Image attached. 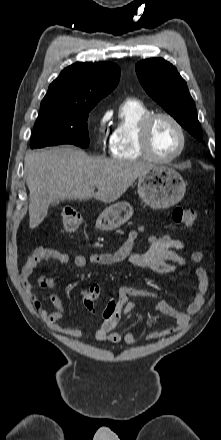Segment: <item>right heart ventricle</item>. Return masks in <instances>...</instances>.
<instances>
[{
	"instance_id": "right-heart-ventricle-1",
	"label": "right heart ventricle",
	"mask_w": 221,
	"mask_h": 440,
	"mask_svg": "<svg viewBox=\"0 0 221 440\" xmlns=\"http://www.w3.org/2000/svg\"><path fill=\"white\" fill-rule=\"evenodd\" d=\"M150 109L140 100L128 98L119 108V120L110 140L111 156L119 160L145 158L138 141V127L141 120L150 114Z\"/></svg>"
}]
</instances>
